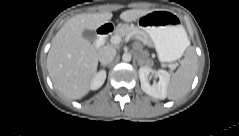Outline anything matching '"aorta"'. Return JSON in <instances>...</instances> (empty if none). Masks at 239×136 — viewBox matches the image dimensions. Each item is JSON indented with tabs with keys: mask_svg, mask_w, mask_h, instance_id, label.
I'll return each instance as SVG.
<instances>
[{
	"mask_svg": "<svg viewBox=\"0 0 239 136\" xmlns=\"http://www.w3.org/2000/svg\"><path fill=\"white\" fill-rule=\"evenodd\" d=\"M132 59V55L128 52H125L123 55H122V60L124 62H130Z\"/></svg>",
	"mask_w": 239,
	"mask_h": 136,
	"instance_id": "aorta-1",
	"label": "aorta"
}]
</instances>
